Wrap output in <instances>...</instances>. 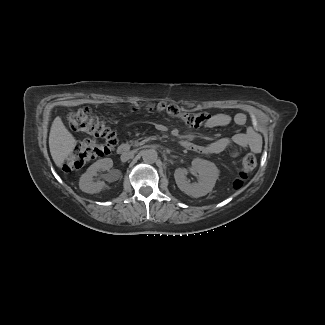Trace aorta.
I'll use <instances>...</instances> for the list:
<instances>
[{
	"label": "aorta",
	"instance_id": "762f6f07",
	"mask_svg": "<svg viewBox=\"0 0 325 325\" xmlns=\"http://www.w3.org/2000/svg\"><path fill=\"white\" fill-rule=\"evenodd\" d=\"M142 158L145 163H155L158 158L157 151L155 149H146L142 152Z\"/></svg>",
	"mask_w": 325,
	"mask_h": 325
}]
</instances>
